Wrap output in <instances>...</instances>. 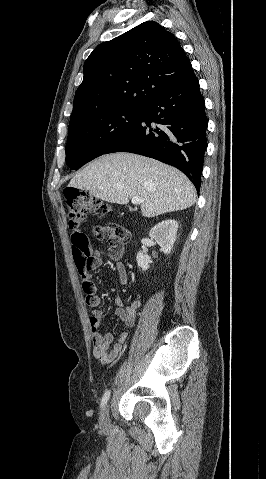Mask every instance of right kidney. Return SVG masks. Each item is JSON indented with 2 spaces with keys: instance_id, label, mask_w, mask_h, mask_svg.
Returning <instances> with one entry per match:
<instances>
[{
  "instance_id": "right-kidney-1",
  "label": "right kidney",
  "mask_w": 266,
  "mask_h": 479,
  "mask_svg": "<svg viewBox=\"0 0 266 479\" xmlns=\"http://www.w3.org/2000/svg\"><path fill=\"white\" fill-rule=\"evenodd\" d=\"M177 230V221L167 219L155 225L150 230L149 236L159 244L164 254H169L175 243ZM136 260L143 271H146L150 267L149 263L152 262L142 251L137 253Z\"/></svg>"
}]
</instances>
